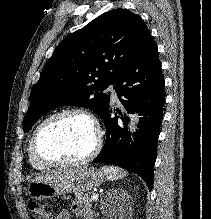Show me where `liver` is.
Masks as SVG:
<instances>
[{
	"mask_svg": "<svg viewBox=\"0 0 211 219\" xmlns=\"http://www.w3.org/2000/svg\"><path fill=\"white\" fill-rule=\"evenodd\" d=\"M72 172H73V169L53 171V172H49L48 174L44 176H39L35 178L33 181L34 182H53V181L61 180V179L68 177Z\"/></svg>",
	"mask_w": 211,
	"mask_h": 219,
	"instance_id": "obj_1",
	"label": "liver"
}]
</instances>
